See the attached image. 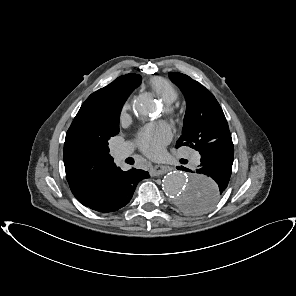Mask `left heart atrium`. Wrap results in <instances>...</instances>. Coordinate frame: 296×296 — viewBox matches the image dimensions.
<instances>
[{
	"label": "left heart atrium",
	"mask_w": 296,
	"mask_h": 296,
	"mask_svg": "<svg viewBox=\"0 0 296 296\" xmlns=\"http://www.w3.org/2000/svg\"><path fill=\"white\" fill-rule=\"evenodd\" d=\"M171 138L170 126L165 122H155L139 129L136 143L144 154L156 156L170 142Z\"/></svg>",
	"instance_id": "obj_1"
}]
</instances>
